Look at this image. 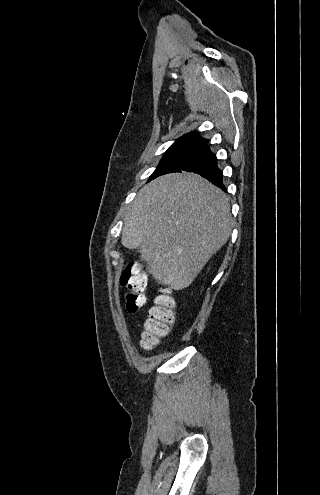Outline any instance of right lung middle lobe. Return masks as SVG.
<instances>
[{
	"label": "right lung middle lobe",
	"mask_w": 320,
	"mask_h": 495,
	"mask_svg": "<svg viewBox=\"0 0 320 495\" xmlns=\"http://www.w3.org/2000/svg\"><path fill=\"white\" fill-rule=\"evenodd\" d=\"M206 142L179 140L173 143L161 159L151 178L171 172H177Z\"/></svg>",
	"instance_id": "obj_1"
}]
</instances>
